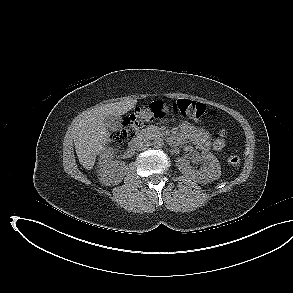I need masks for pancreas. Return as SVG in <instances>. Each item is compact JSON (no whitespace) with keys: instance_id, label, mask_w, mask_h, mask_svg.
I'll list each match as a JSON object with an SVG mask.
<instances>
[{"instance_id":"pancreas-1","label":"pancreas","mask_w":293,"mask_h":293,"mask_svg":"<svg viewBox=\"0 0 293 293\" xmlns=\"http://www.w3.org/2000/svg\"><path fill=\"white\" fill-rule=\"evenodd\" d=\"M142 133L148 138H155L163 135L160 128L153 125L145 128Z\"/></svg>"}]
</instances>
